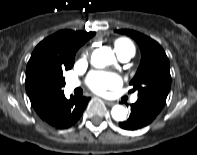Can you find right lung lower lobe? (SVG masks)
I'll return each mask as SVG.
<instances>
[{
	"instance_id": "right-lung-lower-lobe-1",
	"label": "right lung lower lobe",
	"mask_w": 197,
	"mask_h": 155,
	"mask_svg": "<svg viewBox=\"0 0 197 155\" xmlns=\"http://www.w3.org/2000/svg\"><path fill=\"white\" fill-rule=\"evenodd\" d=\"M89 99L82 96L66 99L64 96L43 120L57 129L69 128L81 117Z\"/></svg>"
}]
</instances>
